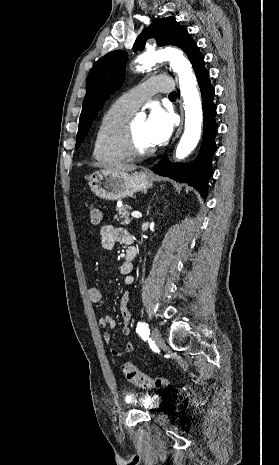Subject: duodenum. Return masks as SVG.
Returning <instances> with one entry per match:
<instances>
[{"label":"duodenum","mask_w":279,"mask_h":465,"mask_svg":"<svg viewBox=\"0 0 279 465\" xmlns=\"http://www.w3.org/2000/svg\"><path fill=\"white\" fill-rule=\"evenodd\" d=\"M136 256V250L133 247H128L126 250V260L132 261Z\"/></svg>","instance_id":"410a0bca"}]
</instances>
